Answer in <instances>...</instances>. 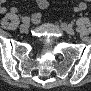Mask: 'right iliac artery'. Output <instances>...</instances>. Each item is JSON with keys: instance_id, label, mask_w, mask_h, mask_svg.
I'll list each match as a JSON object with an SVG mask.
<instances>
[{"instance_id": "82829eb1", "label": "right iliac artery", "mask_w": 91, "mask_h": 91, "mask_svg": "<svg viewBox=\"0 0 91 91\" xmlns=\"http://www.w3.org/2000/svg\"><path fill=\"white\" fill-rule=\"evenodd\" d=\"M29 21H30V19L28 17H23L22 18L23 23H28Z\"/></svg>"}]
</instances>
